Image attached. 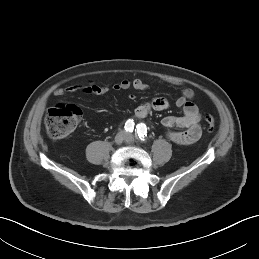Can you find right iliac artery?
<instances>
[{
    "label": "right iliac artery",
    "mask_w": 259,
    "mask_h": 259,
    "mask_svg": "<svg viewBox=\"0 0 259 259\" xmlns=\"http://www.w3.org/2000/svg\"><path fill=\"white\" fill-rule=\"evenodd\" d=\"M125 130L127 131V132H132L133 131V129H134V122H133V120H131V119H129L126 123H125Z\"/></svg>",
    "instance_id": "82829eb1"
}]
</instances>
